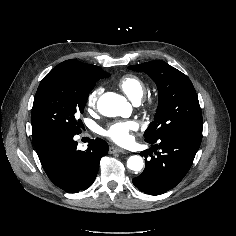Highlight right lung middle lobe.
Segmentation results:
<instances>
[{
  "instance_id": "1",
  "label": "right lung middle lobe",
  "mask_w": 236,
  "mask_h": 236,
  "mask_svg": "<svg viewBox=\"0 0 236 236\" xmlns=\"http://www.w3.org/2000/svg\"><path fill=\"white\" fill-rule=\"evenodd\" d=\"M106 74L104 78L109 77ZM95 82H86L75 74L53 69L41 81L33 103L32 133L56 132L75 135L81 131V120L89 92Z\"/></svg>"
}]
</instances>
